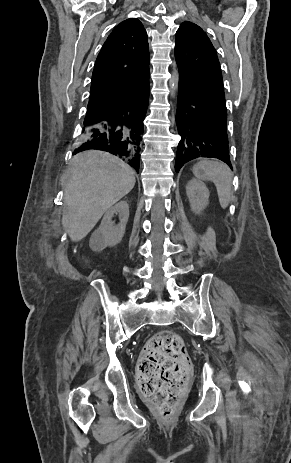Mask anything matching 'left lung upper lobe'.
Listing matches in <instances>:
<instances>
[{
    "label": "left lung upper lobe",
    "mask_w": 291,
    "mask_h": 463,
    "mask_svg": "<svg viewBox=\"0 0 291 463\" xmlns=\"http://www.w3.org/2000/svg\"><path fill=\"white\" fill-rule=\"evenodd\" d=\"M175 59L179 78L207 90L225 101L220 63L210 39L192 22L176 32Z\"/></svg>",
    "instance_id": "5c2ea615"
}]
</instances>
